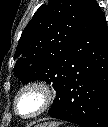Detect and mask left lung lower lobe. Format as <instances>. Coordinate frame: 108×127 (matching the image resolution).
I'll return each instance as SVG.
<instances>
[{"label": "left lung lower lobe", "mask_w": 108, "mask_h": 127, "mask_svg": "<svg viewBox=\"0 0 108 127\" xmlns=\"http://www.w3.org/2000/svg\"><path fill=\"white\" fill-rule=\"evenodd\" d=\"M49 115L82 127H108V28L89 0Z\"/></svg>", "instance_id": "0a47b994"}]
</instances>
